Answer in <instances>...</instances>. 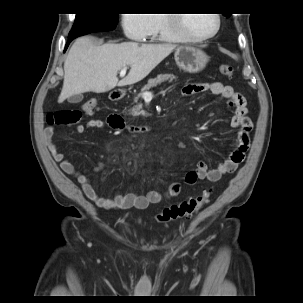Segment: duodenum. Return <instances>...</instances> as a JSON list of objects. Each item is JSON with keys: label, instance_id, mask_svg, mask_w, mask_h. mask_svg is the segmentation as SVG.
Here are the masks:
<instances>
[{"label": "duodenum", "instance_id": "1", "mask_svg": "<svg viewBox=\"0 0 303 303\" xmlns=\"http://www.w3.org/2000/svg\"><path fill=\"white\" fill-rule=\"evenodd\" d=\"M123 97V94L121 92H113L110 96L111 100L113 101H117V100H121ZM113 119L115 121V124L117 126L118 129H124L127 128L129 129L132 133L135 134V136H144L149 134L152 130L153 127H149V126H134V125H125L122 117L119 114H114Z\"/></svg>", "mask_w": 303, "mask_h": 303}]
</instances>
